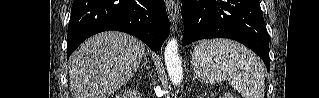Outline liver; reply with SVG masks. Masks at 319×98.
I'll return each instance as SVG.
<instances>
[{
  "mask_svg": "<svg viewBox=\"0 0 319 98\" xmlns=\"http://www.w3.org/2000/svg\"><path fill=\"white\" fill-rule=\"evenodd\" d=\"M144 54L145 45L122 32L87 39L70 57L72 98H109L133 77Z\"/></svg>",
  "mask_w": 319,
  "mask_h": 98,
  "instance_id": "liver-1",
  "label": "liver"
}]
</instances>
